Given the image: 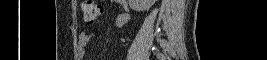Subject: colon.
Wrapping results in <instances>:
<instances>
[{
    "label": "colon",
    "mask_w": 267,
    "mask_h": 60,
    "mask_svg": "<svg viewBox=\"0 0 267 60\" xmlns=\"http://www.w3.org/2000/svg\"><path fill=\"white\" fill-rule=\"evenodd\" d=\"M83 18L86 22H93L101 17L103 6L100 1L87 0L82 5Z\"/></svg>",
    "instance_id": "colon-1"
}]
</instances>
